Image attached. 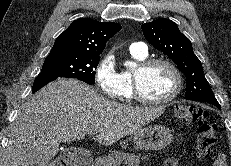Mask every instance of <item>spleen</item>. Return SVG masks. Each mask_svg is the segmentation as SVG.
<instances>
[{
	"mask_svg": "<svg viewBox=\"0 0 231 166\" xmlns=\"http://www.w3.org/2000/svg\"><path fill=\"white\" fill-rule=\"evenodd\" d=\"M214 166H227L225 161V156L221 155L218 159L214 162Z\"/></svg>",
	"mask_w": 231,
	"mask_h": 166,
	"instance_id": "1",
	"label": "spleen"
}]
</instances>
